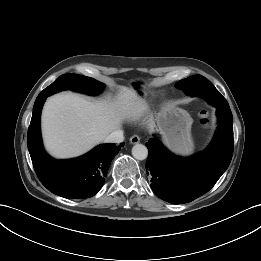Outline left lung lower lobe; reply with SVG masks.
<instances>
[{"label": "left lung lower lobe", "mask_w": 261, "mask_h": 261, "mask_svg": "<svg viewBox=\"0 0 261 261\" xmlns=\"http://www.w3.org/2000/svg\"><path fill=\"white\" fill-rule=\"evenodd\" d=\"M185 93L215 106L219 125L207 149L188 158L175 156L156 139L146 143L151 188L159 198L173 204L191 202L208 192L228 168L233 154L232 113L225 98L208 80Z\"/></svg>", "instance_id": "1"}]
</instances>
